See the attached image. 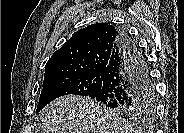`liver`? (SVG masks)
Wrapping results in <instances>:
<instances>
[{"instance_id":"obj_1","label":"liver","mask_w":184,"mask_h":133,"mask_svg":"<svg viewBox=\"0 0 184 133\" xmlns=\"http://www.w3.org/2000/svg\"><path fill=\"white\" fill-rule=\"evenodd\" d=\"M40 133H132L140 130L117 117L94 99L62 96L39 115Z\"/></svg>"}]
</instances>
